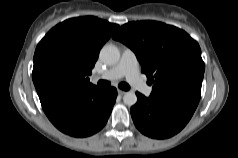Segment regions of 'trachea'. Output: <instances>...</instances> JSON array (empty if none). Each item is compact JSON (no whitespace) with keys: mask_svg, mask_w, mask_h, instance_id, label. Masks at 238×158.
Segmentation results:
<instances>
[{"mask_svg":"<svg viewBox=\"0 0 238 158\" xmlns=\"http://www.w3.org/2000/svg\"><path fill=\"white\" fill-rule=\"evenodd\" d=\"M98 86L99 87H108V86H110V82L106 81V80H100L98 82ZM118 86L120 89L125 90V91L130 89V86L125 82H121Z\"/></svg>","mask_w":238,"mask_h":158,"instance_id":"obj_1","label":"trachea"}]
</instances>
